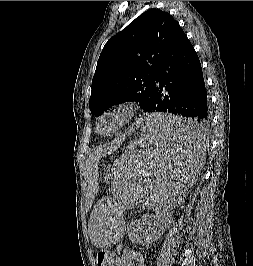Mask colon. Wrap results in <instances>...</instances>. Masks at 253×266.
I'll return each instance as SVG.
<instances>
[{"mask_svg": "<svg viewBox=\"0 0 253 266\" xmlns=\"http://www.w3.org/2000/svg\"><path fill=\"white\" fill-rule=\"evenodd\" d=\"M118 258L108 251H100L96 256L97 266H118Z\"/></svg>", "mask_w": 253, "mask_h": 266, "instance_id": "1", "label": "colon"}]
</instances>
